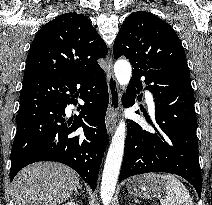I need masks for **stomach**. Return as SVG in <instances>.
Segmentation results:
<instances>
[{
    "instance_id": "obj_1",
    "label": "stomach",
    "mask_w": 212,
    "mask_h": 205,
    "mask_svg": "<svg viewBox=\"0 0 212 205\" xmlns=\"http://www.w3.org/2000/svg\"><path fill=\"white\" fill-rule=\"evenodd\" d=\"M165 189V182L157 179L135 177L127 182L128 192L136 198H154Z\"/></svg>"
}]
</instances>
